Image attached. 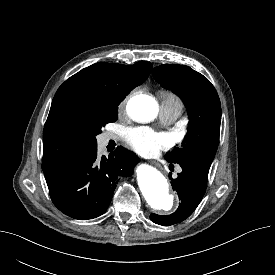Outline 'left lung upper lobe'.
I'll return each instance as SVG.
<instances>
[{"label":"left lung upper lobe","instance_id":"obj_1","mask_svg":"<svg viewBox=\"0 0 275 275\" xmlns=\"http://www.w3.org/2000/svg\"><path fill=\"white\" fill-rule=\"evenodd\" d=\"M154 79L184 102L189 116L188 133L180 147L167 154L170 163L200 162L211 166L217 151L221 104L210 81L188 66L155 67Z\"/></svg>","mask_w":275,"mask_h":275}]
</instances>
